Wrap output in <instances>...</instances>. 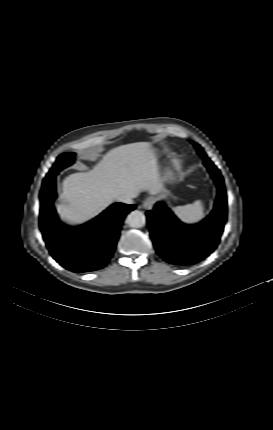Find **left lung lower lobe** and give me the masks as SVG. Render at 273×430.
<instances>
[{"instance_id": "obj_1", "label": "left lung lower lobe", "mask_w": 273, "mask_h": 430, "mask_svg": "<svg viewBox=\"0 0 273 430\" xmlns=\"http://www.w3.org/2000/svg\"><path fill=\"white\" fill-rule=\"evenodd\" d=\"M204 164L218 189L214 209L207 218L196 225H185L162 203L146 213L157 253L173 265H192L208 257L217 248L227 219L223 177L209 158Z\"/></svg>"}]
</instances>
